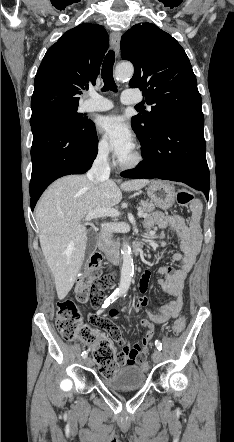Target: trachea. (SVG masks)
Segmentation results:
<instances>
[{
	"mask_svg": "<svg viewBox=\"0 0 234 442\" xmlns=\"http://www.w3.org/2000/svg\"><path fill=\"white\" fill-rule=\"evenodd\" d=\"M114 62H115V54L113 50H110L106 55L102 65L101 76L104 82V87L102 89L103 91H108V90L117 91V86L113 78Z\"/></svg>",
	"mask_w": 234,
	"mask_h": 442,
	"instance_id": "1",
	"label": "trachea"
}]
</instances>
